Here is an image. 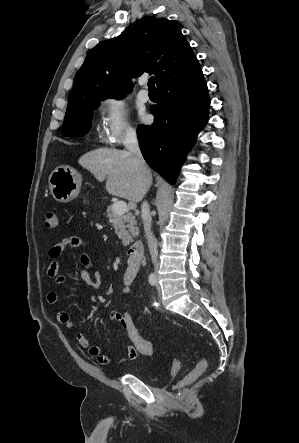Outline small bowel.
Wrapping results in <instances>:
<instances>
[{"mask_svg":"<svg viewBox=\"0 0 299 443\" xmlns=\"http://www.w3.org/2000/svg\"><path fill=\"white\" fill-rule=\"evenodd\" d=\"M85 245L86 242L83 237L78 235H72L63 238L49 249L48 255L51 259V262L47 268V275L48 277L53 279V282L56 286L63 285L66 281L65 276L59 273L60 264L58 262V259L62 255L63 251L67 247L83 248L85 247ZM79 260L84 266V268L78 270L76 276L80 280L84 281L85 283H87L92 287L95 288L99 287L101 284V276L98 271L94 270V265L89 255L86 252H81L79 255ZM139 267L140 265H133L130 262L128 263L127 268L123 275V286H124L123 292H128L131 284L137 277V274L139 272ZM46 300L48 304L55 305L58 302L57 292L49 291L46 296ZM120 314L121 311L118 310L112 311L110 313V320L114 323H118L122 327ZM55 318L59 323L63 324L68 329H74L76 326L74 320L70 317V315L66 311L63 310L56 311ZM75 338L77 343L82 348L87 350L89 355L94 357L100 364L107 365L112 362V359L106 354H104L99 346L90 343L88 338L82 332H77ZM137 354H138L137 349L131 344L127 347L125 355L118 357L115 360V362L117 364H122L127 361L135 360Z\"/></svg>","mask_w":299,"mask_h":443,"instance_id":"small-bowel-1","label":"small bowel"}]
</instances>
